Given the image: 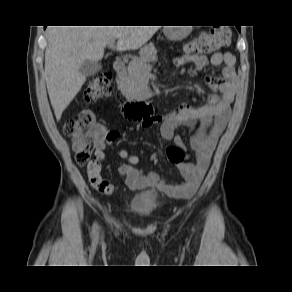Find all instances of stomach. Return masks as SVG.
I'll list each match as a JSON object with an SVG mask.
<instances>
[{
    "mask_svg": "<svg viewBox=\"0 0 292 292\" xmlns=\"http://www.w3.org/2000/svg\"><path fill=\"white\" fill-rule=\"evenodd\" d=\"M188 29H169L166 35L170 40L179 41L187 36Z\"/></svg>",
    "mask_w": 292,
    "mask_h": 292,
    "instance_id": "1",
    "label": "stomach"
}]
</instances>
